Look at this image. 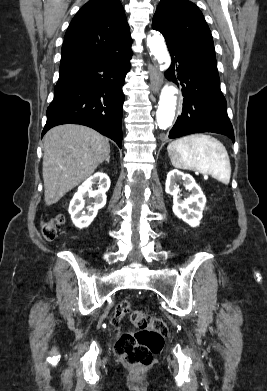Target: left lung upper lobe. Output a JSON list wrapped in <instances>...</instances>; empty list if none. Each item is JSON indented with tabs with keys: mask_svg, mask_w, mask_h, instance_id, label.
<instances>
[{
	"mask_svg": "<svg viewBox=\"0 0 267 391\" xmlns=\"http://www.w3.org/2000/svg\"><path fill=\"white\" fill-rule=\"evenodd\" d=\"M152 27L166 43L216 60L210 29L199 8L187 0H161Z\"/></svg>",
	"mask_w": 267,
	"mask_h": 391,
	"instance_id": "5c2ea615",
	"label": "left lung upper lobe"
}]
</instances>
